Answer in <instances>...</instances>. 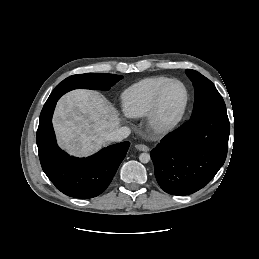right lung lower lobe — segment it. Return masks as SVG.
Returning a JSON list of instances; mask_svg holds the SVG:
<instances>
[{"instance_id":"1","label":"right lung lower lobe","mask_w":259,"mask_h":259,"mask_svg":"<svg viewBox=\"0 0 259 259\" xmlns=\"http://www.w3.org/2000/svg\"><path fill=\"white\" fill-rule=\"evenodd\" d=\"M57 100L44 105L37 130V146L43 171L64 194L76 198H92L101 194L112 181L124 159L128 141L108 146L87 158L71 157L57 143L52 115Z\"/></svg>"}]
</instances>
